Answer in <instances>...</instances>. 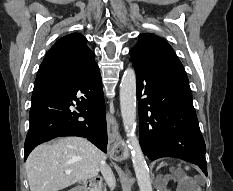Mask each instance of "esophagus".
Instances as JSON below:
<instances>
[{"instance_id":"esophagus-1","label":"esophagus","mask_w":233,"mask_h":191,"mask_svg":"<svg viewBox=\"0 0 233 191\" xmlns=\"http://www.w3.org/2000/svg\"><path fill=\"white\" fill-rule=\"evenodd\" d=\"M106 120L109 141L107 142V151H109L110 156H125L128 150L119 133V127L115 116L111 114V112H108Z\"/></svg>"}]
</instances>
